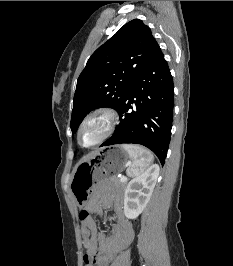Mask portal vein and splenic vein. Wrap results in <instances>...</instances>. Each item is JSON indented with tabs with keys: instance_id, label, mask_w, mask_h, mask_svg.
<instances>
[{
	"instance_id": "portal-vein-and-splenic-vein-1",
	"label": "portal vein and splenic vein",
	"mask_w": 233,
	"mask_h": 266,
	"mask_svg": "<svg viewBox=\"0 0 233 266\" xmlns=\"http://www.w3.org/2000/svg\"><path fill=\"white\" fill-rule=\"evenodd\" d=\"M120 181H121V182H125V181H127V177H125V176L120 177Z\"/></svg>"
}]
</instances>
